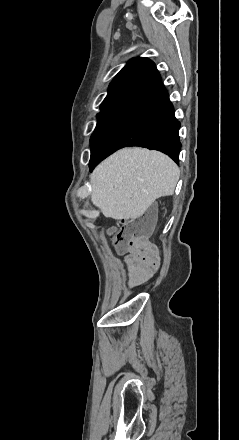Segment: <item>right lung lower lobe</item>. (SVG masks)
Masks as SVG:
<instances>
[{
	"label": "right lung lower lobe",
	"instance_id": "right-lung-lower-lobe-1",
	"mask_svg": "<svg viewBox=\"0 0 239 440\" xmlns=\"http://www.w3.org/2000/svg\"><path fill=\"white\" fill-rule=\"evenodd\" d=\"M179 128L173 105L161 82L129 102L91 154L90 171L104 158L126 146L158 150L178 163L181 150Z\"/></svg>",
	"mask_w": 239,
	"mask_h": 440
}]
</instances>
